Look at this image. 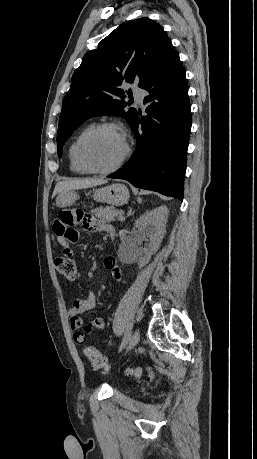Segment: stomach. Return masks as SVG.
<instances>
[{
  "instance_id": "1",
  "label": "stomach",
  "mask_w": 257,
  "mask_h": 459,
  "mask_svg": "<svg viewBox=\"0 0 257 459\" xmlns=\"http://www.w3.org/2000/svg\"><path fill=\"white\" fill-rule=\"evenodd\" d=\"M79 195L74 191H66L58 195L56 205H72ZM93 199L97 202L107 203L115 206H120L128 202L129 191L124 184L116 183L93 191Z\"/></svg>"
}]
</instances>
